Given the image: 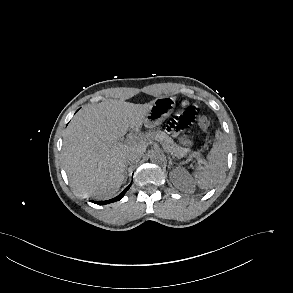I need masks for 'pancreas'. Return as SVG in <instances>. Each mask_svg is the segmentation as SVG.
<instances>
[{"instance_id":"pancreas-1","label":"pancreas","mask_w":293,"mask_h":293,"mask_svg":"<svg viewBox=\"0 0 293 293\" xmlns=\"http://www.w3.org/2000/svg\"><path fill=\"white\" fill-rule=\"evenodd\" d=\"M148 138L150 140H156L161 142L164 148L166 149V151L169 152L174 157L181 158L185 156L186 153L188 152L187 149L177 145L170 136H168L165 132H162L160 130L149 132Z\"/></svg>"}]
</instances>
